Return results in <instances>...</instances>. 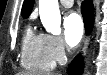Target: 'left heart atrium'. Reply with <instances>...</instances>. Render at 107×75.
Instances as JSON below:
<instances>
[{"mask_svg": "<svg viewBox=\"0 0 107 75\" xmlns=\"http://www.w3.org/2000/svg\"><path fill=\"white\" fill-rule=\"evenodd\" d=\"M84 24L81 17L76 13H70L64 20V34L68 45L74 47L79 44L83 37Z\"/></svg>", "mask_w": 107, "mask_h": 75, "instance_id": "39dd6f15", "label": "left heart atrium"}]
</instances>
